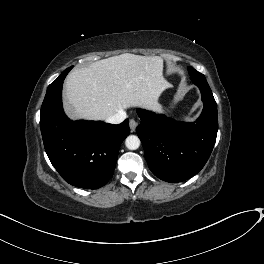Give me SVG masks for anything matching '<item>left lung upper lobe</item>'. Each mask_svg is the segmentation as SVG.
<instances>
[{
    "instance_id": "1",
    "label": "left lung upper lobe",
    "mask_w": 264,
    "mask_h": 264,
    "mask_svg": "<svg viewBox=\"0 0 264 264\" xmlns=\"http://www.w3.org/2000/svg\"><path fill=\"white\" fill-rule=\"evenodd\" d=\"M188 71H189L191 78H203L204 77L203 74L195 70L193 67H189Z\"/></svg>"
}]
</instances>
